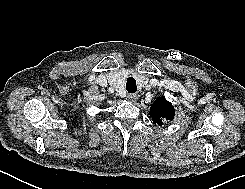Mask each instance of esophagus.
I'll use <instances>...</instances> for the list:
<instances>
[{
  "mask_svg": "<svg viewBox=\"0 0 245 189\" xmlns=\"http://www.w3.org/2000/svg\"><path fill=\"white\" fill-rule=\"evenodd\" d=\"M128 100L131 102H136L139 99V95L136 93L128 94Z\"/></svg>",
  "mask_w": 245,
  "mask_h": 189,
  "instance_id": "obj_1",
  "label": "esophagus"
}]
</instances>
